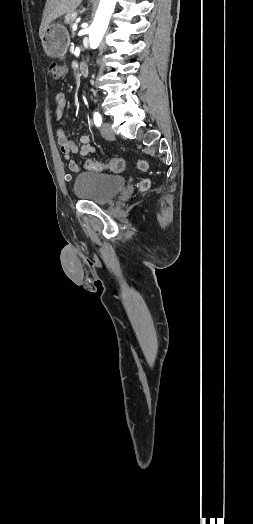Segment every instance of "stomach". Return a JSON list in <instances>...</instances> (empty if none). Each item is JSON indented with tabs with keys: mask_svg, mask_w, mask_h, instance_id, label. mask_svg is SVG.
<instances>
[{
	"mask_svg": "<svg viewBox=\"0 0 253 524\" xmlns=\"http://www.w3.org/2000/svg\"><path fill=\"white\" fill-rule=\"evenodd\" d=\"M69 43L68 30L61 23L50 24L42 38L43 49L52 58H63Z\"/></svg>",
	"mask_w": 253,
	"mask_h": 524,
	"instance_id": "obj_1",
	"label": "stomach"
}]
</instances>
